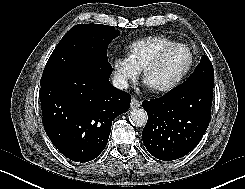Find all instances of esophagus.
<instances>
[{
	"label": "esophagus",
	"instance_id": "1",
	"mask_svg": "<svg viewBox=\"0 0 245 189\" xmlns=\"http://www.w3.org/2000/svg\"><path fill=\"white\" fill-rule=\"evenodd\" d=\"M140 105H141V102L139 100H137L136 98L131 99V103H130L131 108H137Z\"/></svg>",
	"mask_w": 245,
	"mask_h": 189
}]
</instances>
